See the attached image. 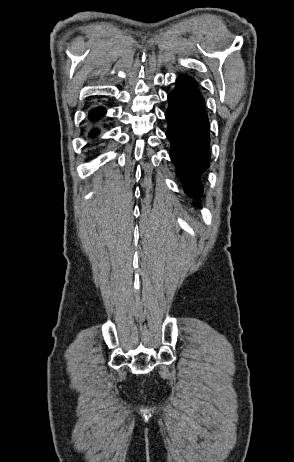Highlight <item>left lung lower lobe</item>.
<instances>
[{"instance_id": "1", "label": "left lung lower lobe", "mask_w": 294, "mask_h": 462, "mask_svg": "<svg viewBox=\"0 0 294 462\" xmlns=\"http://www.w3.org/2000/svg\"><path fill=\"white\" fill-rule=\"evenodd\" d=\"M166 136L171 142L170 157L188 195L198 197L203 188L197 179L210 164L209 122L205 103L196 81L189 76L176 80L168 95ZM199 206V204H198Z\"/></svg>"}]
</instances>
